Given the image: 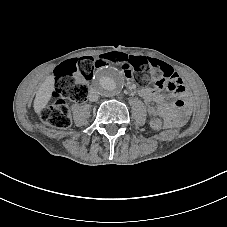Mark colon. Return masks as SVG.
I'll use <instances>...</instances> for the list:
<instances>
[{
	"label": "colon",
	"instance_id": "obj_1",
	"mask_svg": "<svg viewBox=\"0 0 227 227\" xmlns=\"http://www.w3.org/2000/svg\"><path fill=\"white\" fill-rule=\"evenodd\" d=\"M111 64L121 68L126 77L133 78L143 86L154 83L157 88L165 89L172 94L183 90V81L167 63L155 58L128 56L120 52H110L97 58L81 57L60 64L54 74V92L52 101L40 112L43 122L58 129H65L71 124V116L66 99L84 102L88 85L96 67ZM154 129H164L168 122L161 118L151 121Z\"/></svg>",
	"mask_w": 227,
	"mask_h": 227
}]
</instances>
